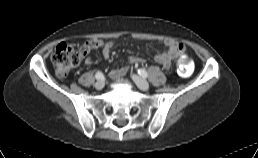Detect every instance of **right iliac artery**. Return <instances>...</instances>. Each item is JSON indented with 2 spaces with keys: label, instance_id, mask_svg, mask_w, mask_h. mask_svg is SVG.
<instances>
[{
  "label": "right iliac artery",
  "instance_id": "1",
  "mask_svg": "<svg viewBox=\"0 0 258 158\" xmlns=\"http://www.w3.org/2000/svg\"><path fill=\"white\" fill-rule=\"evenodd\" d=\"M95 78H96L97 80H101V79L104 78V75H103L101 72H97V73L95 74Z\"/></svg>",
  "mask_w": 258,
  "mask_h": 158
}]
</instances>
